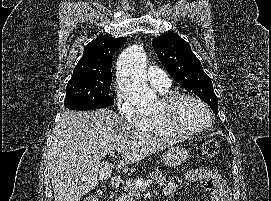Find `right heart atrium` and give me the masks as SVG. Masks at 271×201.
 Here are the masks:
<instances>
[{"label": "right heart atrium", "instance_id": "right-heart-atrium-1", "mask_svg": "<svg viewBox=\"0 0 271 201\" xmlns=\"http://www.w3.org/2000/svg\"><path fill=\"white\" fill-rule=\"evenodd\" d=\"M116 104L120 115L126 123L138 128H144L147 125L149 117L139 113L124 92L117 91Z\"/></svg>", "mask_w": 271, "mask_h": 201}]
</instances>
